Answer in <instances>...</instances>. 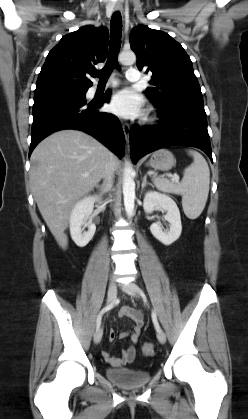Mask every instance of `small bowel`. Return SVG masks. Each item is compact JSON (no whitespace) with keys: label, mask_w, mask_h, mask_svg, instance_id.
I'll return each mask as SVG.
<instances>
[{"label":"small bowel","mask_w":248,"mask_h":419,"mask_svg":"<svg viewBox=\"0 0 248 419\" xmlns=\"http://www.w3.org/2000/svg\"><path fill=\"white\" fill-rule=\"evenodd\" d=\"M118 314L122 318L130 319L133 324L129 331H124L119 334L120 338H128L130 341V344L123 349L120 357H114L107 351L103 352L105 361L111 366L117 368L134 361L137 353L135 345L139 340L141 329L144 324L143 313L140 310L126 306L122 307ZM116 337L117 334L115 331L110 329L108 332V339L113 341Z\"/></svg>","instance_id":"small-bowel-1"}]
</instances>
